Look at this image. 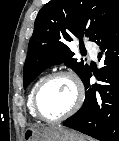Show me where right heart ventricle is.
<instances>
[{"label":"right heart ventricle","mask_w":119,"mask_h":141,"mask_svg":"<svg viewBox=\"0 0 119 141\" xmlns=\"http://www.w3.org/2000/svg\"><path fill=\"white\" fill-rule=\"evenodd\" d=\"M45 76H40L39 78H37L34 83L32 84L31 88H30V91L28 93V98H27V108L30 112V114L33 116V117H36L35 116V113L33 111V106H32V98H33V93L37 87V85L41 82V80L44 78Z\"/></svg>","instance_id":"e07e8e85"}]
</instances>
